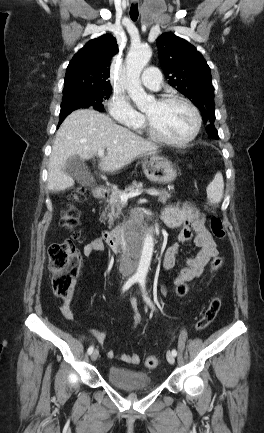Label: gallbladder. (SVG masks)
Returning <instances> with one entry per match:
<instances>
[{
	"label": "gallbladder",
	"instance_id": "bac80fb5",
	"mask_svg": "<svg viewBox=\"0 0 264 433\" xmlns=\"http://www.w3.org/2000/svg\"><path fill=\"white\" fill-rule=\"evenodd\" d=\"M64 172L77 180L82 186H92L93 184L91 173L78 156H72L66 161Z\"/></svg>",
	"mask_w": 264,
	"mask_h": 433
}]
</instances>
